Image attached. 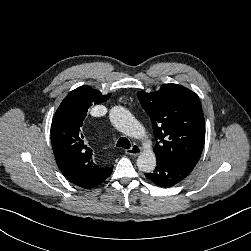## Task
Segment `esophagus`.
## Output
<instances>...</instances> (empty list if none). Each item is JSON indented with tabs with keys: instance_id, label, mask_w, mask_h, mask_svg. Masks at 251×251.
I'll list each match as a JSON object with an SVG mask.
<instances>
[{
	"instance_id": "34e87169",
	"label": "esophagus",
	"mask_w": 251,
	"mask_h": 251,
	"mask_svg": "<svg viewBox=\"0 0 251 251\" xmlns=\"http://www.w3.org/2000/svg\"><path fill=\"white\" fill-rule=\"evenodd\" d=\"M125 152L128 155L137 156L142 153V148L137 144H133L132 147Z\"/></svg>"
}]
</instances>
